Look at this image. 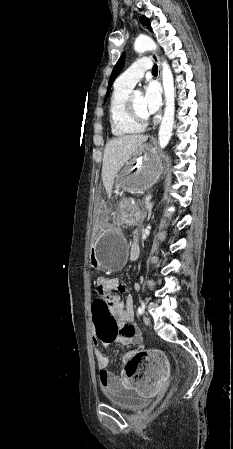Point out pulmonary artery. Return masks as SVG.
Returning <instances> with one entry per match:
<instances>
[{
  "label": "pulmonary artery",
  "mask_w": 233,
  "mask_h": 449,
  "mask_svg": "<svg viewBox=\"0 0 233 449\" xmlns=\"http://www.w3.org/2000/svg\"><path fill=\"white\" fill-rule=\"evenodd\" d=\"M151 68L152 63L150 59H138L118 77L116 83L120 86H125L132 89L135 84L143 77L144 73Z\"/></svg>",
  "instance_id": "obj_1"
}]
</instances>
